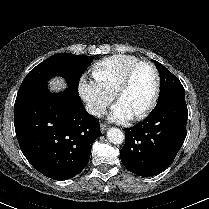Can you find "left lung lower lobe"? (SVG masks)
<instances>
[{
	"label": "left lung lower lobe",
	"instance_id": "1",
	"mask_svg": "<svg viewBox=\"0 0 209 209\" xmlns=\"http://www.w3.org/2000/svg\"><path fill=\"white\" fill-rule=\"evenodd\" d=\"M187 119L185 93L158 100L143 122L125 129V145L120 151L123 165L142 177L165 170L186 138Z\"/></svg>",
	"mask_w": 209,
	"mask_h": 209
}]
</instances>
